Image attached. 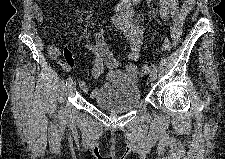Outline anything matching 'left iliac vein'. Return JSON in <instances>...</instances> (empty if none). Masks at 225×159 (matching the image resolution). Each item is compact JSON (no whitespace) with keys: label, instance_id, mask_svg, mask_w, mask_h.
<instances>
[{"label":"left iliac vein","instance_id":"1","mask_svg":"<svg viewBox=\"0 0 225 159\" xmlns=\"http://www.w3.org/2000/svg\"><path fill=\"white\" fill-rule=\"evenodd\" d=\"M157 78V71L153 70L151 73H150V80L151 81H155Z\"/></svg>","mask_w":225,"mask_h":159}]
</instances>
